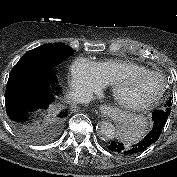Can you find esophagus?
<instances>
[{
  "label": "esophagus",
  "instance_id": "1",
  "mask_svg": "<svg viewBox=\"0 0 177 177\" xmlns=\"http://www.w3.org/2000/svg\"><path fill=\"white\" fill-rule=\"evenodd\" d=\"M99 110H100L101 114L108 115V116H110L112 114V112L114 111V109L108 105H101L99 107Z\"/></svg>",
  "mask_w": 177,
  "mask_h": 177
}]
</instances>
